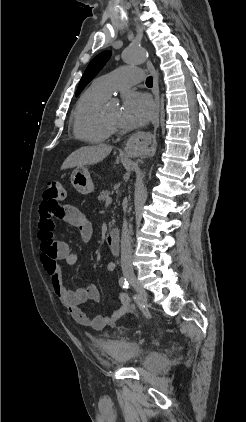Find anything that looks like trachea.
I'll return each instance as SVG.
<instances>
[{"mask_svg":"<svg viewBox=\"0 0 246 422\" xmlns=\"http://www.w3.org/2000/svg\"><path fill=\"white\" fill-rule=\"evenodd\" d=\"M146 85H147L148 87H152V86H153V78H152V76H149V77L146 79Z\"/></svg>","mask_w":246,"mask_h":422,"instance_id":"trachea-1","label":"trachea"}]
</instances>
